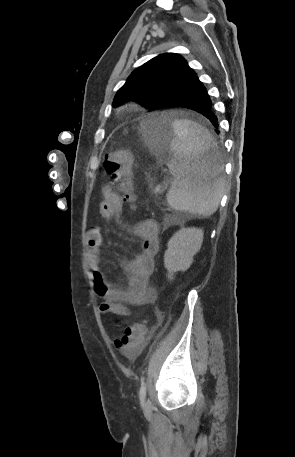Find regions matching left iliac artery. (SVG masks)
Returning <instances> with one entry per match:
<instances>
[{"instance_id":"left-iliac-artery-1","label":"left iliac artery","mask_w":295,"mask_h":457,"mask_svg":"<svg viewBox=\"0 0 295 457\" xmlns=\"http://www.w3.org/2000/svg\"><path fill=\"white\" fill-rule=\"evenodd\" d=\"M140 400H144L146 397V383L142 382L140 391H139Z\"/></svg>"}]
</instances>
